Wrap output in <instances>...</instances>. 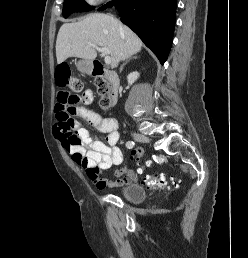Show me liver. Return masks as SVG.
<instances>
[{"label": "liver", "mask_w": 248, "mask_h": 258, "mask_svg": "<svg viewBox=\"0 0 248 258\" xmlns=\"http://www.w3.org/2000/svg\"><path fill=\"white\" fill-rule=\"evenodd\" d=\"M93 43L107 49L111 57V67H117L121 60L141 51L142 41L127 26L103 13H93L76 23L61 26L56 41L57 63L69 57L93 61L97 57Z\"/></svg>", "instance_id": "1"}]
</instances>
